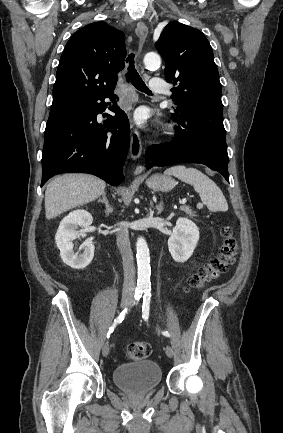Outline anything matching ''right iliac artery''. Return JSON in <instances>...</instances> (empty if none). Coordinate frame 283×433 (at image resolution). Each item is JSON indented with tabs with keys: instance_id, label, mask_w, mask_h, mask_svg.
<instances>
[{
	"instance_id": "82829eb1",
	"label": "right iliac artery",
	"mask_w": 283,
	"mask_h": 433,
	"mask_svg": "<svg viewBox=\"0 0 283 433\" xmlns=\"http://www.w3.org/2000/svg\"><path fill=\"white\" fill-rule=\"evenodd\" d=\"M142 293H143V287H138V288H136V290H135V295H134L135 302H138V301L140 300V298H141V296H142ZM135 302H134V304H135ZM127 311H128V309L125 308V309L120 313V315H119V316L114 320V323L112 324V326H111V327L109 328V330H108L107 338L110 337V334L114 331L116 325H117V324H120V323L124 320V317H125V314L127 313Z\"/></svg>"
}]
</instances>
